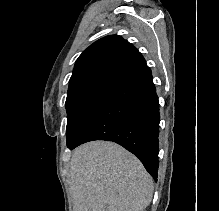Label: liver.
Returning a JSON list of instances; mask_svg holds the SVG:
<instances>
[{
  "instance_id": "1",
  "label": "liver",
  "mask_w": 219,
  "mask_h": 211,
  "mask_svg": "<svg viewBox=\"0 0 219 211\" xmlns=\"http://www.w3.org/2000/svg\"><path fill=\"white\" fill-rule=\"evenodd\" d=\"M73 211H143L153 179L136 155L114 141H88L70 159Z\"/></svg>"
}]
</instances>
